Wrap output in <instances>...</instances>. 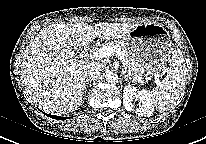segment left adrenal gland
<instances>
[{
    "mask_svg": "<svg viewBox=\"0 0 206 144\" xmlns=\"http://www.w3.org/2000/svg\"><path fill=\"white\" fill-rule=\"evenodd\" d=\"M123 78H125L126 80H130L132 82H134V80H132L128 75L123 74Z\"/></svg>",
    "mask_w": 206,
    "mask_h": 144,
    "instance_id": "obj_1",
    "label": "left adrenal gland"
}]
</instances>
